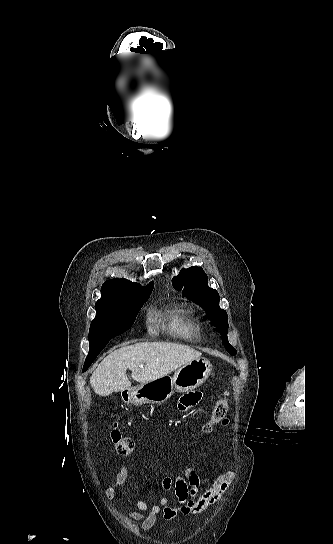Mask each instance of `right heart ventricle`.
Listing matches in <instances>:
<instances>
[{"mask_svg": "<svg viewBox=\"0 0 333 544\" xmlns=\"http://www.w3.org/2000/svg\"><path fill=\"white\" fill-rule=\"evenodd\" d=\"M170 326L176 335L186 339L197 338L201 330L200 323L195 317L180 314L173 316Z\"/></svg>", "mask_w": 333, "mask_h": 544, "instance_id": "obj_1", "label": "right heart ventricle"}]
</instances>
